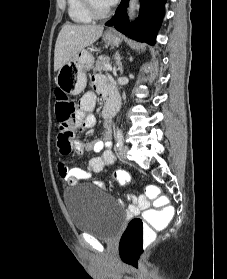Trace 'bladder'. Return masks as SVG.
Segmentation results:
<instances>
[{"label":"bladder","mask_w":227,"mask_h":279,"mask_svg":"<svg viewBox=\"0 0 227 279\" xmlns=\"http://www.w3.org/2000/svg\"><path fill=\"white\" fill-rule=\"evenodd\" d=\"M64 203L72 226L102 240H113L124 224L120 203L94 185L75 186L64 192Z\"/></svg>","instance_id":"31cf9c89"}]
</instances>
